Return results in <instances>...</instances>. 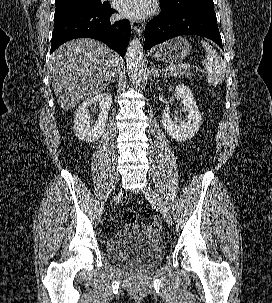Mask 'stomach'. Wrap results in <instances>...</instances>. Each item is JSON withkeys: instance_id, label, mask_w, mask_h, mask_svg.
<instances>
[{"instance_id": "0dacf381", "label": "stomach", "mask_w": 272, "mask_h": 303, "mask_svg": "<svg viewBox=\"0 0 272 303\" xmlns=\"http://www.w3.org/2000/svg\"><path fill=\"white\" fill-rule=\"evenodd\" d=\"M191 51L190 44L183 37H176L161 44L155 53L157 59L165 63L183 60Z\"/></svg>"}]
</instances>
